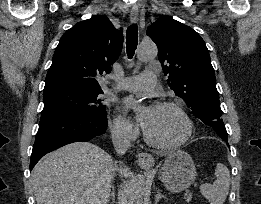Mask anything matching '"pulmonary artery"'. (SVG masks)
<instances>
[{
  "instance_id": "e3ab8cb5",
  "label": "pulmonary artery",
  "mask_w": 261,
  "mask_h": 204,
  "mask_svg": "<svg viewBox=\"0 0 261 204\" xmlns=\"http://www.w3.org/2000/svg\"><path fill=\"white\" fill-rule=\"evenodd\" d=\"M156 75L152 71H144L137 76L122 79L117 86L119 90L137 91L151 90L156 86Z\"/></svg>"
}]
</instances>
